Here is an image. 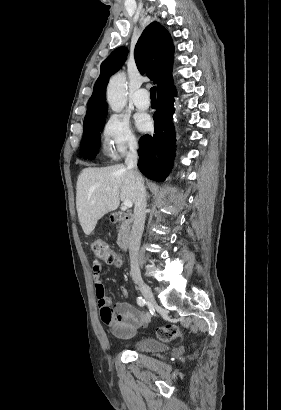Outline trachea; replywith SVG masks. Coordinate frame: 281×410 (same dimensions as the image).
<instances>
[{
    "label": "trachea",
    "mask_w": 281,
    "mask_h": 410,
    "mask_svg": "<svg viewBox=\"0 0 281 410\" xmlns=\"http://www.w3.org/2000/svg\"><path fill=\"white\" fill-rule=\"evenodd\" d=\"M150 97H151V99H156V86H153L150 89Z\"/></svg>",
    "instance_id": "3493384b"
}]
</instances>
